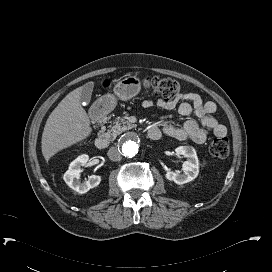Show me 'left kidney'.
<instances>
[{
	"label": "left kidney",
	"mask_w": 272,
	"mask_h": 272,
	"mask_svg": "<svg viewBox=\"0 0 272 272\" xmlns=\"http://www.w3.org/2000/svg\"><path fill=\"white\" fill-rule=\"evenodd\" d=\"M177 155H183L187 160L183 163V174L179 171H167L165 177L169 181H174L178 185L191 182L199 174V160L196 150L192 146H179L175 149Z\"/></svg>",
	"instance_id": "5707ae66"
}]
</instances>
